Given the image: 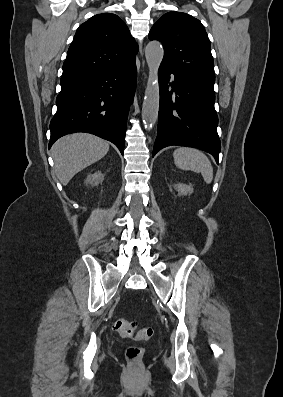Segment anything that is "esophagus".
Instances as JSON below:
<instances>
[{"label":"esophagus","mask_w":283,"mask_h":397,"mask_svg":"<svg viewBox=\"0 0 283 397\" xmlns=\"http://www.w3.org/2000/svg\"><path fill=\"white\" fill-rule=\"evenodd\" d=\"M140 53L142 54V47L140 48Z\"/></svg>","instance_id":"1"}]
</instances>
